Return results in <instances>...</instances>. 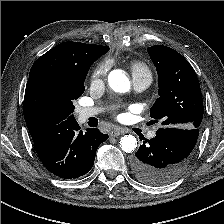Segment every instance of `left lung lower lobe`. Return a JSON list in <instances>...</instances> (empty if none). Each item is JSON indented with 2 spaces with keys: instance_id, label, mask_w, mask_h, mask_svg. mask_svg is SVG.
Here are the masks:
<instances>
[{
  "instance_id": "left-lung-lower-lobe-1",
  "label": "left lung lower lobe",
  "mask_w": 224,
  "mask_h": 224,
  "mask_svg": "<svg viewBox=\"0 0 224 224\" xmlns=\"http://www.w3.org/2000/svg\"><path fill=\"white\" fill-rule=\"evenodd\" d=\"M199 129L163 127L155 138L145 139L132 160L135 176L153 186L166 185L186 169Z\"/></svg>"
}]
</instances>
